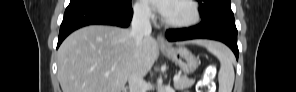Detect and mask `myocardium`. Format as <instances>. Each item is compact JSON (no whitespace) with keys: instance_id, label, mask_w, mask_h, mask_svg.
<instances>
[{"instance_id":"f54148a6","label":"myocardium","mask_w":296,"mask_h":92,"mask_svg":"<svg viewBox=\"0 0 296 92\" xmlns=\"http://www.w3.org/2000/svg\"><path fill=\"white\" fill-rule=\"evenodd\" d=\"M181 2L186 3L192 11V16L190 19L185 21H170L163 17V23L171 28H189L195 26L201 19V11L198 4L192 0H181Z\"/></svg>"}]
</instances>
